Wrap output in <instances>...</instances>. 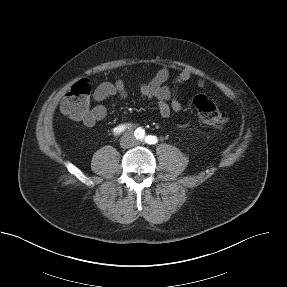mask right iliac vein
<instances>
[{
	"label": "right iliac vein",
	"instance_id": "right-iliac-vein-1",
	"mask_svg": "<svg viewBox=\"0 0 287 287\" xmlns=\"http://www.w3.org/2000/svg\"><path fill=\"white\" fill-rule=\"evenodd\" d=\"M129 144H130V137L129 136H125L124 138H122L121 145L123 147L128 146Z\"/></svg>",
	"mask_w": 287,
	"mask_h": 287
}]
</instances>
